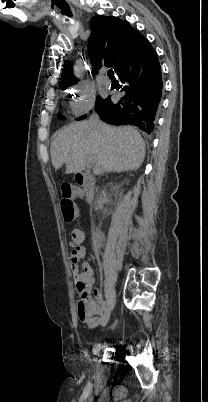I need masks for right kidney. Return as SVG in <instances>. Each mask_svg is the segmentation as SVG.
I'll list each match as a JSON object with an SVG mask.
<instances>
[{
  "instance_id": "ca27d5eb",
  "label": "right kidney",
  "mask_w": 208,
  "mask_h": 402,
  "mask_svg": "<svg viewBox=\"0 0 208 402\" xmlns=\"http://www.w3.org/2000/svg\"><path fill=\"white\" fill-rule=\"evenodd\" d=\"M113 192H118L119 188L118 186H114V188H112Z\"/></svg>"
}]
</instances>
